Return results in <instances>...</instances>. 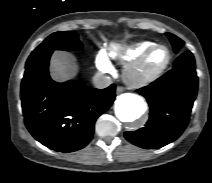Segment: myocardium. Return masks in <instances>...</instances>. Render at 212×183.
<instances>
[{"mask_svg": "<svg viewBox=\"0 0 212 183\" xmlns=\"http://www.w3.org/2000/svg\"><path fill=\"white\" fill-rule=\"evenodd\" d=\"M165 48L168 52V58L166 62L156 71L146 74V75H138V70L143 65V63L146 61L148 56L157 48ZM172 61V52L171 49L165 45L156 43L153 46L146 49L139 57H137L135 60L128 63L123 71V77L125 82L134 88H142L147 85H150L154 81H156L158 78H160L163 73L168 69L169 65Z\"/></svg>", "mask_w": 212, "mask_h": 183, "instance_id": "myocardium-1", "label": "myocardium"}]
</instances>
